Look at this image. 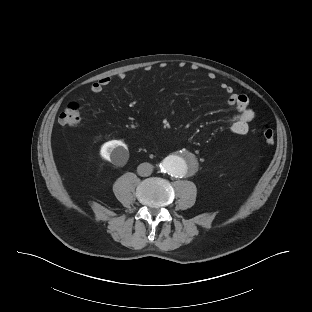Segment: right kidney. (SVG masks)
I'll return each mask as SVG.
<instances>
[{
  "instance_id": "1",
  "label": "right kidney",
  "mask_w": 312,
  "mask_h": 312,
  "mask_svg": "<svg viewBox=\"0 0 312 312\" xmlns=\"http://www.w3.org/2000/svg\"><path fill=\"white\" fill-rule=\"evenodd\" d=\"M100 155L103 159L117 164L125 163L129 158V153L126 144L120 140H112L104 143L101 146Z\"/></svg>"
}]
</instances>
